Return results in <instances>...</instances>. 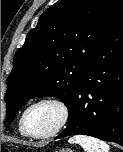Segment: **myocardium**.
<instances>
[{
  "mask_svg": "<svg viewBox=\"0 0 123 152\" xmlns=\"http://www.w3.org/2000/svg\"><path fill=\"white\" fill-rule=\"evenodd\" d=\"M44 103H50V104H53L58 107V109L60 110V114H61L60 121H59L58 125L48 133L34 134L28 130L27 125H26V118H27L29 111L33 107L40 105V104H44ZM69 118H70L69 106L62 98L57 97V96H44V97H41V98L35 100L34 102H32L30 105H28L26 107V109L24 110V112L21 116V126H22L24 133L27 136L34 138V139H47V138H51V137L57 135L58 133H60L67 125Z\"/></svg>",
  "mask_w": 123,
  "mask_h": 152,
  "instance_id": "f54148a6",
  "label": "myocardium"
}]
</instances>
